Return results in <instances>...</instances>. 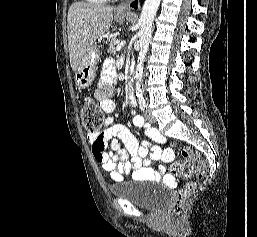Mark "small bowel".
Wrapping results in <instances>:
<instances>
[{
	"mask_svg": "<svg viewBox=\"0 0 257 237\" xmlns=\"http://www.w3.org/2000/svg\"><path fill=\"white\" fill-rule=\"evenodd\" d=\"M114 85V64L112 60H106L93 97L107 114L116 109L115 101L110 98ZM133 123L142 127L146 135L156 143H166V138L156 129L146 125L142 117L135 116ZM104 125L106 128L103 131L90 132L87 139L92 146L93 156L113 180L120 181L125 174L132 172L134 180L164 181L171 185L179 183V178L166 174L164 167H150L153 160H173L171 149L153 146L147 141L140 144L127 127L115 124L111 117L104 120Z\"/></svg>",
	"mask_w": 257,
	"mask_h": 237,
	"instance_id": "c3829d8e",
	"label": "small bowel"
}]
</instances>
